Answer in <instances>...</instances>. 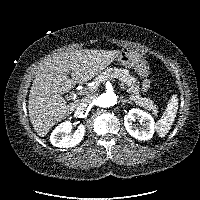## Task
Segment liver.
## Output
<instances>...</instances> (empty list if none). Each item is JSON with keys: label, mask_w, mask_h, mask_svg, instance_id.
I'll return each instance as SVG.
<instances>
[{"label": "liver", "mask_w": 200, "mask_h": 200, "mask_svg": "<svg viewBox=\"0 0 200 200\" xmlns=\"http://www.w3.org/2000/svg\"><path fill=\"white\" fill-rule=\"evenodd\" d=\"M119 53V50L83 49L61 52L46 60L36 71L29 93V118L35 132L44 137L56 123L72 114L81 100L66 104L63 94L76 83L92 80ZM70 72L71 79L67 76Z\"/></svg>", "instance_id": "6515ba94"}]
</instances>
